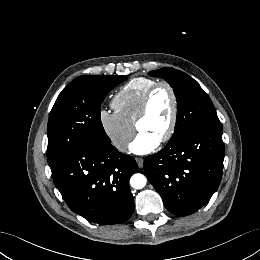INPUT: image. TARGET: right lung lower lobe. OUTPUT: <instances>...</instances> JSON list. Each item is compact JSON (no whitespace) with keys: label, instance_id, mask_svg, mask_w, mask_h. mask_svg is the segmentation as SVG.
<instances>
[{"label":"right lung lower lobe","instance_id":"1","mask_svg":"<svg viewBox=\"0 0 260 260\" xmlns=\"http://www.w3.org/2000/svg\"><path fill=\"white\" fill-rule=\"evenodd\" d=\"M54 183L72 211L98 224L128 220L134 211L129 187L135 159L112 146L82 147L50 166Z\"/></svg>","mask_w":260,"mask_h":260}]
</instances>
